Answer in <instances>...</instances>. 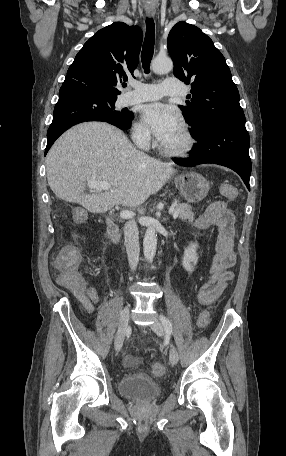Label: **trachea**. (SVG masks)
I'll return each mask as SVG.
<instances>
[{
  "mask_svg": "<svg viewBox=\"0 0 286 456\" xmlns=\"http://www.w3.org/2000/svg\"><path fill=\"white\" fill-rule=\"evenodd\" d=\"M146 34L142 47L141 61L145 73L150 72V63L154 53L155 26L152 19H146Z\"/></svg>",
  "mask_w": 286,
  "mask_h": 456,
  "instance_id": "3493384b",
  "label": "trachea"
}]
</instances>
